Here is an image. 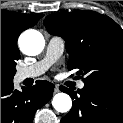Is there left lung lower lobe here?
<instances>
[{"instance_id": "0a47b994", "label": "left lung lower lobe", "mask_w": 123, "mask_h": 123, "mask_svg": "<svg viewBox=\"0 0 123 123\" xmlns=\"http://www.w3.org/2000/svg\"><path fill=\"white\" fill-rule=\"evenodd\" d=\"M73 106L61 123H123V86L84 83L77 91L60 87Z\"/></svg>"}]
</instances>
